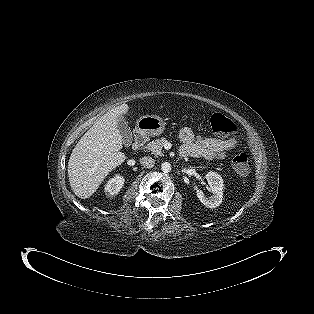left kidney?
<instances>
[{
    "instance_id": "obj_1",
    "label": "left kidney",
    "mask_w": 314,
    "mask_h": 314,
    "mask_svg": "<svg viewBox=\"0 0 314 314\" xmlns=\"http://www.w3.org/2000/svg\"><path fill=\"white\" fill-rule=\"evenodd\" d=\"M206 179L210 186L212 196L207 198L202 191H197V197L206 207L216 208L222 203L223 199V179L216 172L210 171L206 174Z\"/></svg>"
}]
</instances>
